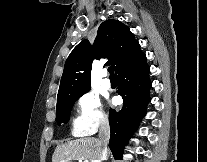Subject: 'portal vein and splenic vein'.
Returning <instances> with one entry per match:
<instances>
[{"mask_svg": "<svg viewBox=\"0 0 207 162\" xmlns=\"http://www.w3.org/2000/svg\"><path fill=\"white\" fill-rule=\"evenodd\" d=\"M79 162H82V160H79ZM84 162H89L88 160H85ZM93 162H98L97 160L93 161Z\"/></svg>", "mask_w": 207, "mask_h": 162, "instance_id": "obj_1", "label": "portal vein and splenic vein"}]
</instances>
